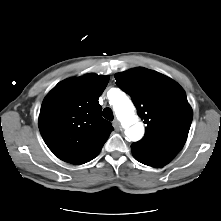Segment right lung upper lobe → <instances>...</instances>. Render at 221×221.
Returning a JSON list of instances; mask_svg holds the SVG:
<instances>
[{
    "label": "right lung upper lobe",
    "mask_w": 221,
    "mask_h": 221,
    "mask_svg": "<svg viewBox=\"0 0 221 221\" xmlns=\"http://www.w3.org/2000/svg\"><path fill=\"white\" fill-rule=\"evenodd\" d=\"M109 77L94 73L58 83L45 97L38 120L49 149L61 160L80 165L97 156L110 133L98 99Z\"/></svg>",
    "instance_id": "obj_1"
}]
</instances>
